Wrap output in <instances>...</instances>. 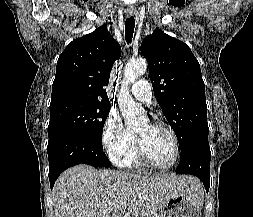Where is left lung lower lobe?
Listing matches in <instances>:
<instances>
[{
	"mask_svg": "<svg viewBox=\"0 0 253 217\" xmlns=\"http://www.w3.org/2000/svg\"><path fill=\"white\" fill-rule=\"evenodd\" d=\"M210 159L208 138L193 137L181 148V157L176 173L197 176L208 192L210 187Z\"/></svg>",
	"mask_w": 253,
	"mask_h": 217,
	"instance_id": "obj_1",
	"label": "left lung lower lobe"
}]
</instances>
